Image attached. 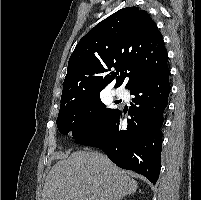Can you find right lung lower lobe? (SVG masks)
<instances>
[{
  "label": "right lung lower lobe",
  "instance_id": "right-lung-lower-lobe-1",
  "mask_svg": "<svg viewBox=\"0 0 201 200\" xmlns=\"http://www.w3.org/2000/svg\"><path fill=\"white\" fill-rule=\"evenodd\" d=\"M169 68L160 75L137 84L130 90L135 98L130 107L127 128H122L119 110L97 131L75 143L102 149L112 162L123 169L158 180L161 163L163 112L170 92Z\"/></svg>",
  "mask_w": 201,
  "mask_h": 200
}]
</instances>
